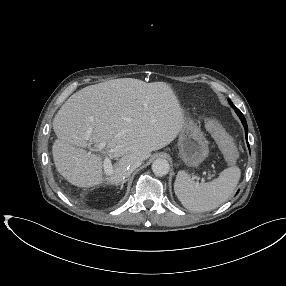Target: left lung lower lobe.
Returning a JSON list of instances; mask_svg holds the SVG:
<instances>
[{"mask_svg":"<svg viewBox=\"0 0 286 286\" xmlns=\"http://www.w3.org/2000/svg\"><path fill=\"white\" fill-rule=\"evenodd\" d=\"M232 108L235 110V112L237 113V115L239 116V118L241 119L242 121V124L245 128V136H246V139H247V133H248V128H247V123H246V120H245V117L243 116V114L241 113V111L236 108L235 106H232ZM247 143H248V140H247ZM248 147H249V143H248Z\"/></svg>","mask_w":286,"mask_h":286,"instance_id":"0a47b994","label":"left lung lower lobe"}]
</instances>
